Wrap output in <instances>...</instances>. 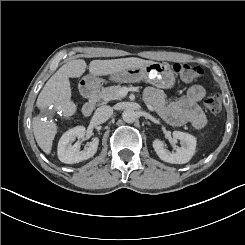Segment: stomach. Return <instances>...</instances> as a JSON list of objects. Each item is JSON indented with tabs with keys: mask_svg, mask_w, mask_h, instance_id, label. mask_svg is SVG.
<instances>
[{
	"mask_svg": "<svg viewBox=\"0 0 245 245\" xmlns=\"http://www.w3.org/2000/svg\"><path fill=\"white\" fill-rule=\"evenodd\" d=\"M110 80L121 83H134L140 80L163 89H170L175 84V76L171 67L167 63L152 62L140 67L129 68L124 71L113 73ZM102 78L95 75L85 76L79 83V89L86 94H90L97 90Z\"/></svg>",
	"mask_w": 245,
	"mask_h": 245,
	"instance_id": "obj_1",
	"label": "stomach"
}]
</instances>
